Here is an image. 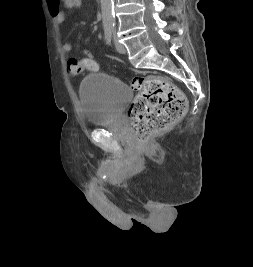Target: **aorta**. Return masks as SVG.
<instances>
[{
  "label": "aorta",
  "instance_id": "obj_1",
  "mask_svg": "<svg viewBox=\"0 0 253 267\" xmlns=\"http://www.w3.org/2000/svg\"><path fill=\"white\" fill-rule=\"evenodd\" d=\"M101 12L103 26H110V28H114L115 18L113 0H101Z\"/></svg>",
  "mask_w": 253,
  "mask_h": 267
}]
</instances>
